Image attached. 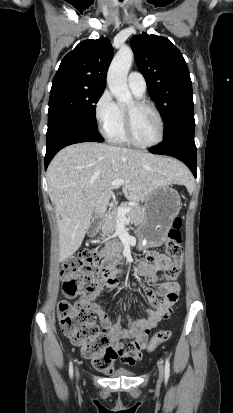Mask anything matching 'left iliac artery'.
Masks as SVG:
<instances>
[{
    "label": "left iliac artery",
    "mask_w": 233,
    "mask_h": 413,
    "mask_svg": "<svg viewBox=\"0 0 233 413\" xmlns=\"http://www.w3.org/2000/svg\"><path fill=\"white\" fill-rule=\"evenodd\" d=\"M170 376V363H169V359L167 358L165 361V379L168 380Z\"/></svg>",
    "instance_id": "left-iliac-artery-1"
}]
</instances>
